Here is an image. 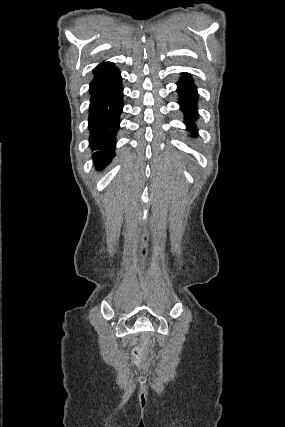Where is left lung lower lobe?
<instances>
[{
	"label": "left lung lower lobe",
	"instance_id": "0a47b994",
	"mask_svg": "<svg viewBox=\"0 0 285 427\" xmlns=\"http://www.w3.org/2000/svg\"><path fill=\"white\" fill-rule=\"evenodd\" d=\"M183 76L186 77V80L177 83L180 109L185 116L187 130L190 131L191 137H196L197 130L194 120L198 118L197 101L199 96L197 94L196 85L192 82L191 75L183 73Z\"/></svg>",
	"mask_w": 285,
	"mask_h": 427
}]
</instances>
